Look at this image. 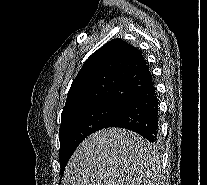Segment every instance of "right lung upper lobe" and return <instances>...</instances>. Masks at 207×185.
<instances>
[{
  "label": "right lung upper lobe",
  "instance_id": "right-lung-upper-lobe-1",
  "mask_svg": "<svg viewBox=\"0 0 207 185\" xmlns=\"http://www.w3.org/2000/svg\"><path fill=\"white\" fill-rule=\"evenodd\" d=\"M152 85L141 52L122 39H113L85 61L68 92L61 118L100 105L123 108Z\"/></svg>",
  "mask_w": 207,
  "mask_h": 185
}]
</instances>
